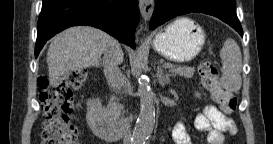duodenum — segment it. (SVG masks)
Instances as JSON below:
<instances>
[{
  "instance_id": "410a0bca",
  "label": "duodenum",
  "mask_w": 273,
  "mask_h": 144,
  "mask_svg": "<svg viewBox=\"0 0 273 144\" xmlns=\"http://www.w3.org/2000/svg\"><path fill=\"white\" fill-rule=\"evenodd\" d=\"M87 120L95 135L108 142H115L123 136V127L116 124L105 112L98 94H93L90 99Z\"/></svg>"
}]
</instances>
